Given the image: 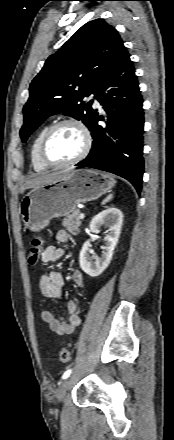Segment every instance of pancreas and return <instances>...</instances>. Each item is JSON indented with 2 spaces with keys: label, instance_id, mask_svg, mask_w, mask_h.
<instances>
[{
  "label": "pancreas",
  "instance_id": "cf45deb5",
  "mask_svg": "<svg viewBox=\"0 0 174 440\" xmlns=\"http://www.w3.org/2000/svg\"><path fill=\"white\" fill-rule=\"evenodd\" d=\"M79 215L80 211L77 209L71 214L67 215L62 222L63 227L74 235H78L80 233V226L82 222L79 219Z\"/></svg>",
  "mask_w": 174,
  "mask_h": 440
}]
</instances>
